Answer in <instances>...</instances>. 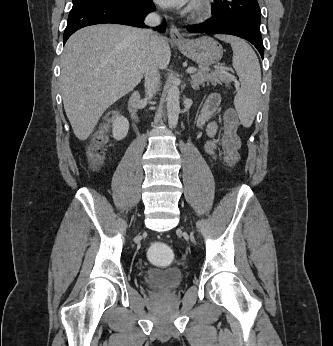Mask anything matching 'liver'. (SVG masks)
I'll return each mask as SVG.
<instances>
[{
    "label": "liver",
    "mask_w": 333,
    "mask_h": 346,
    "mask_svg": "<svg viewBox=\"0 0 333 346\" xmlns=\"http://www.w3.org/2000/svg\"><path fill=\"white\" fill-rule=\"evenodd\" d=\"M148 51L144 31L123 25L85 27L68 39L60 83L64 109L79 140H86L102 114L140 83ZM154 57L158 68H167L171 52L161 36H156Z\"/></svg>",
    "instance_id": "obj_1"
}]
</instances>
